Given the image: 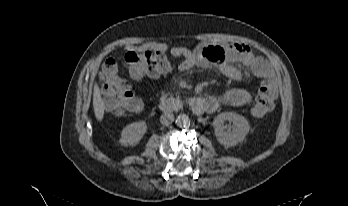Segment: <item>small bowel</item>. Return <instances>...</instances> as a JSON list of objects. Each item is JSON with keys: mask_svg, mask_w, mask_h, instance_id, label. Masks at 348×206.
<instances>
[{"mask_svg": "<svg viewBox=\"0 0 348 206\" xmlns=\"http://www.w3.org/2000/svg\"><path fill=\"white\" fill-rule=\"evenodd\" d=\"M147 47L156 50H169L174 57L181 60L179 70L182 72L196 67L214 66L222 75L237 82L243 81L244 75L231 62H240L256 76L269 79L272 87L275 88V74L270 63L254 54L252 49L243 43L196 44L187 48L184 46L170 47L165 43L153 42L147 44ZM211 99L214 105L210 112H214L221 104L230 106L247 104L251 101V94L246 89L233 88L225 91L220 97H212Z\"/></svg>", "mask_w": 348, "mask_h": 206, "instance_id": "c3829d8e", "label": "small bowel"}]
</instances>
